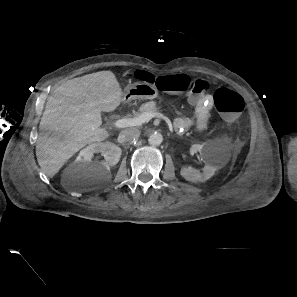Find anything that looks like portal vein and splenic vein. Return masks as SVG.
Listing matches in <instances>:
<instances>
[{"instance_id": "18ae733b", "label": "portal vein and splenic vein", "mask_w": 297, "mask_h": 297, "mask_svg": "<svg viewBox=\"0 0 297 297\" xmlns=\"http://www.w3.org/2000/svg\"><path fill=\"white\" fill-rule=\"evenodd\" d=\"M158 117L164 119L165 116L161 113H151V112H145L139 115L138 117L134 118H122L119 120H116L113 125L116 128H125V127H131V126H139L146 122H149L152 118Z\"/></svg>"}]
</instances>
